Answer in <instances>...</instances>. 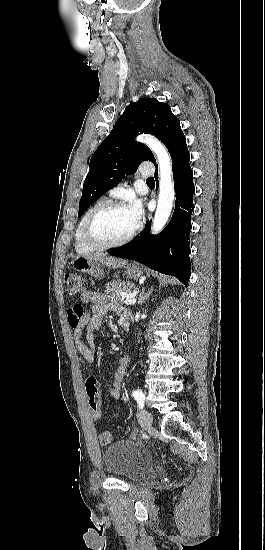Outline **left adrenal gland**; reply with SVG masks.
<instances>
[{
    "label": "left adrenal gland",
    "mask_w": 265,
    "mask_h": 550,
    "mask_svg": "<svg viewBox=\"0 0 265 550\" xmlns=\"http://www.w3.org/2000/svg\"><path fill=\"white\" fill-rule=\"evenodd\" d=\"M151 291H152V289L149 290L147 293H145L144 288L142 289V291H141V293H140V295H139V299H138V303H139L140 305H142V304L148 299V297H149L150 294H151Z\"/></svg>",
    "instance_id": "obj_1"
}]
</instances>
